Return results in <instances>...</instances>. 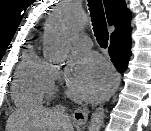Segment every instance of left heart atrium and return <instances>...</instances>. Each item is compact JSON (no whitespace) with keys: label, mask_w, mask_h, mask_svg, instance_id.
Returning a JSON list of instances; mask_svg holds the SVG:
<instances>
[{"label":"left heart atrium","mask_w":151,"mask_h":131,"mask_svg":"<svg viewBox=\"0 0 151 131\" xmlns=\"http://www.w3.org/2000/svg\"><path fill=\"white\" fill-rule=\"evenodd\" d=\"M111 73L106 64L93 53H77L71 60L68 85L81 99H93L108 87Z\"/></svg>","instance_id":"39dd6f15"}]
</instances>
